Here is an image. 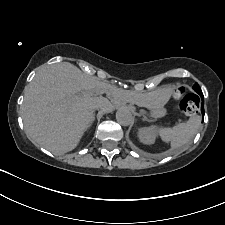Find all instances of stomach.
I'll return each mask as SVG.
<instances>
[{
	"label": "stomach",
	"instance_id": "1",
	"mask_svg": "<svg viewBox=\"0 0 225 225\" xmlns=\"http://www.w3.org/2000/svg\"><path fill=\"white\" fill-rule=\"evenodd\" d=\"M169 97L170 93L168 89L153 92L145 97L144 106L153 111L163 109Z\"/></svg>",
	"mask_w": 225,
	"mask_h": 225
}]
</instances>
